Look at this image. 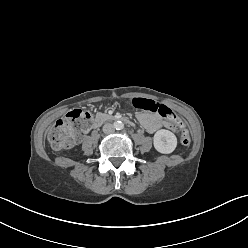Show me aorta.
<instances>
[{
  "label": "aorta",
  "mask_w": 248,
  "mask_h": 248,
  "mask_svg": "<svg viewBox=\"0 0 248 248\" xmlns=\"http://www.w3.org/2000/svg\"><path fill=\"white\" fill-rule=\"evenodd\" d=\"M114 128L117 129V130H121V129L124 128V124L121 121H116L114 123Z\"/></svg>",
  "instance_id": "obj_1"
}]
</instances>
